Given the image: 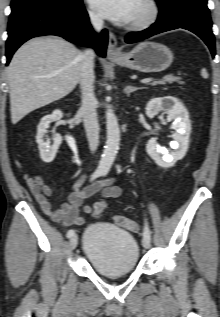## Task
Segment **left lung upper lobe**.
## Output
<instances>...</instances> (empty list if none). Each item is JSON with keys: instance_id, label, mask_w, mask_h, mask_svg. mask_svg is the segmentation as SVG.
Returning <instances> with one entry per match:
<instances>
[{"instance_id": "5c2ea615", "label": "left lung upper lobe", "mask_w": 220, "mask_h": 317, "mask_svg": "<svg viewBox=\"0 0 220 317\" xmlns=\"http://www.w3.org/2000/svg\"><path fill=\"white\" fill-rule=\"evenodd\" d=\"M156 1L158 2V4H163V3H165V2H167L169 0H156Z\"/></svg>"}]
</instances>
